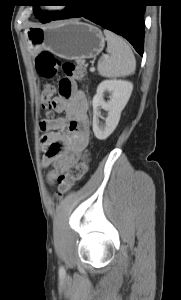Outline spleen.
Listing matches in <instances>:
<instances>
[{
  "label": "spleen",
  "instance_id": "3e777b00",
  "mask_svg": "<svg viewBox=\"0 0 181 300\" xmlns=\"http://www.w3.org/2000/svg\"><path fill=\"white\" fill-rule=\"evenodd\" d=\"M107 52L98 65V72L103 77H125L135 72L136 61L128 43L115 33L105 29Z\"/></svg>",
  "mask_w": 181,
  "mask_h": 300
}]
</instances>
